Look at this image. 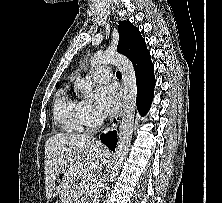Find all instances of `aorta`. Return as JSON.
I'll return each instance as SVG.
<instances>
[{"label": "aorta", "instance_id": "obj_1", "mask_svg": "<svg viewBox=\"0 0 222 203\" xmlns=\"http://www.w3.org/2000/svg\"><path fill=\"white\" fill-rule=\"evenodd\" d=\"M101 64L117 66L122 73L124 85L123 112L119 127L118 144L109 175V181L112 182L121 168L131 144L137 99V82L133 64L126 56L110 51L96 53L90 62L91 69ZM75 88L86 98H92V80L90 76L87 75L86 80L82 82H76Z\"/></svg>", "mask_w": 222, "mask_h": 203}]
</instances>
